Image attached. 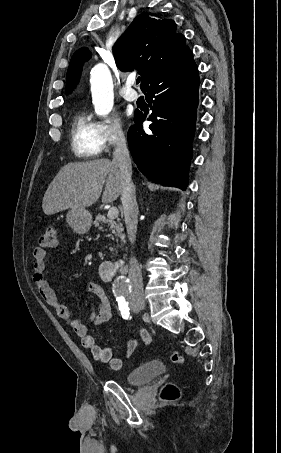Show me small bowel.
<instances>
[{
    "instance_id": "c3829d8e",
    "label": "small bowel",
    "mask_w": 281,
    "mask_h": 453,
    "mask_svg": "<svg viewBox=\"0 0 281 453\" xmlns=\"http://www.w3.org/2000/svg\"><path fill=\"white\" fill-rule=\"evenodd\" d=\"M33 268L32 279L35 283L37 292L43 300L55 311L57 316L73 328L78 337L81 338L82 346L90 352L99 362L109 363L113 370H119L122 367L123 358L113 354L109 347L100 346L89 333V328L83 324L80 319L71 315L66 306L61 304L58 297L52 291L46 278V270L49 264V256L42 248H34L32 251ZM85 290L98 296V304L95 307L93 316L90 320L92 327H100L107 322L112 315V305L110 300L105 296L102 287L95 283L89 282L85 285ZM138 336L145 341L148 346L150 339L146 330L140 329ZM138 345V338H132L125 347L124 357L130 358L135 352Z\"/></svg>"
}]
</instances>
